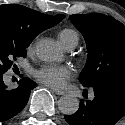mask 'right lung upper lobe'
<instances>
[{"label": "right lung upper lobe", "mask_w": 125, "mask_h": 125, "mask_svg": "<svg viewBox=\"0 0 125 125\" xmlns=\"http://www.w3.org/2000/svg\"><path fill=\"white\" fill-rule=\"evenodd\" d=\"M65 16H50L22 5H0V39L29 44L42 31L58 24Z\"/></svg>", "instance_id": "right-lung-upper-lobe-1"}]
</instances>
